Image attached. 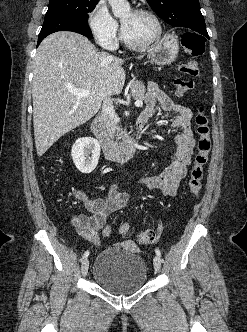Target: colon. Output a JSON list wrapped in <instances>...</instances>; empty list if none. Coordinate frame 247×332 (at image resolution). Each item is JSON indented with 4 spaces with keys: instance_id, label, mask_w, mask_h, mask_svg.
<instances>
[{
    "instance_id": "1",
    "label": "colon",
    "mask_w": 247,
    "mask_h": 332,
    "mask_svg": "<svg viewBox=\"0 0 247 332\" xmlns=\"http://www.w3.org/2000/svg\"><path fill=\"white\" fill-rule=\"evenodd\" d=\"M182 45L186 52L196 57L201 55L205 50V39L198 33L188 31L182 36ZM179 72L183 75L174 82L175 91L178 95H184L194 87L193 79L199 75V66L197 61L190 59L179 67ZM195 126L198 135L197 152L194 163L190 171L188 180L189 192L192 196L197 197L202 188L204 168L208 162L211 150L210 128L208 118L202 108L198 110L195 116ZM112 232L110 226L103 228V236L108 237ZM131 232V226L124 223L119 227V233L127 236ZM138 242L141 244H150L156 241L157 234L152 229H147L138 234Z\"/></svg>"
}]
</instances>
